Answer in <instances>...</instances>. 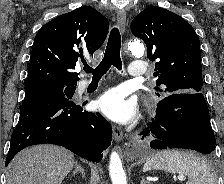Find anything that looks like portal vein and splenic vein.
Here are the masks:
<instances>
[{
    "instance_id": "portal-vein-and-splenic-vein-1",
    "label": "portal vein and splenic vein",
    "mask_w": 224,
    "mask_h": 184,
    "mask_svg": "<svg viewBox=\"0 0 224 184\" xmlns=\"http://www.w3.org/2000/svg\"><path fill=\"white\" fill-rule=\"evenodd\" d=\"M178 179L182 181V180L185 179V177H184L183 175H179V176H178Z\"/></svg>"
}]
</instances>
